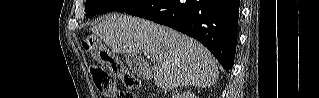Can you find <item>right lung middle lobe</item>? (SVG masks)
<instances>
[{
  "instance_id": "1",
  "label": "right lung middle lobe",
  "mask_w": 319,
  "mask_h": 98,
  "mask_svg": "<svg viewBox=\"0 0 319 98\" xmlns=\"http://www.w3.org/2000/svg\"><path fill=\"white\" fill-rule=\"evenodd\" d=\"M148 0H87L86 1V17H93L97 14L107 13L111 11H128Z\"/></svg>"
}]
</instances>
